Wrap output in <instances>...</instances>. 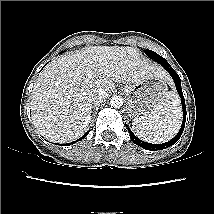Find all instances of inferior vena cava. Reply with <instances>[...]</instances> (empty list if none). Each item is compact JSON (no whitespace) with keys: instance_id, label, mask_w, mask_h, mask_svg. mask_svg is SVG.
<instances>
[{"instance_id":"602c4592","label":"inferior vena cava","mask_w":214,"mask_h":214,"mask_svg":"<svg viewBox=\"0 0 214 214\" xmlns=\"http://www.w3.org/2000/svg\"><path fill=\"white\" fill-rule=\"evenodd\" d=\"M107 99V92L105 90L97 89L93 90L89 94V101L92 104H100Z\"/></svg>"}]
</instances>
